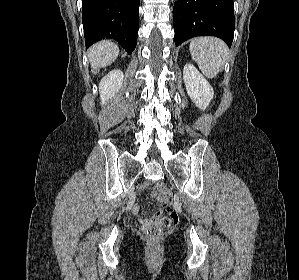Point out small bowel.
Here are the masks:
<instances>
[{"label": "small bowel", "mask_w": 299, "mask_h": 280, "mask_svg": "<svg viewBox=\"0 0 299 280\" xmlns=\"http://www.w3.org/2000/svg\"><path fill=\"white\" fill-rule=\"evenodd\" d=\"M132 212H133L135 215H138V213H139V207H138V205H136V204H133V205H132ZM151 220H152V219H140V222H141V224H142V226H143L144 228H147L148 225L151 223Z\"/></svg>", "instance_id": "c3829d8e"}]
</instances>
